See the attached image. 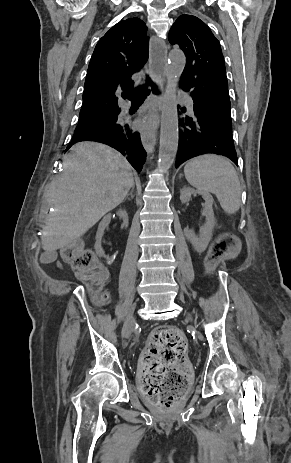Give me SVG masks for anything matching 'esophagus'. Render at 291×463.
<instances>
[{"label":"esophagus","mask_w":291,"mask_h":463,"mask_svg":"<svg viewBox=\"0 0 291 463\" xmlns=\"http://www.w3.org/2000/svg\"><path fill=\"white\" fill-rule=\"evenodd\" d=\"M167 65V46L164 40L157 36L150 39V67L153 77L163 83L165 81V69ZM162 107V98L154 97L150 107V114L154 117L156 124L150 131L141 133V140L145 150L152 153L157 141V129L159 127V116Z\"/></svg>","instance_id":"obj_1"}]
</instances>
